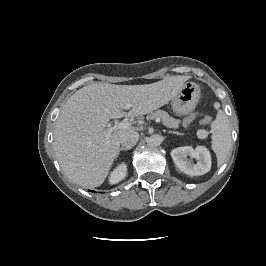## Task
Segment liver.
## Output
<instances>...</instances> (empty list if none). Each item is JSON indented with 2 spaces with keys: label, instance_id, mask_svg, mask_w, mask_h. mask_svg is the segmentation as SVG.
<instances>
[{
  "label": "liver",
  "instance_id": "obj_1",
  "mask_svg": "<svg viewBox=\"0 0 266 266\" xmlns=\"http://www.w3.org/2000/svg\"><path fill=\"white\" fill-rule=\"evenodd\" d=\"M189 76H170L152 84L93 83L76 91L63 105L54 131V152L63 173L75 183L94 188L106 179L118 156L120 129L106 137L110 119L142 116L168 103ZM131 104V110L124 112Z\"/></svg>",
  "mask_w": 266,
  "mask_h": 266
}]
</instances>
